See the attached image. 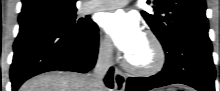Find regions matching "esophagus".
Masks as SVG:
<instances>
[{
    "instance_id": "esophagus-1",
    "label": "esophagus",
    "mask_w": 220,
    "mask_h": 91,
    "mask_svg": "<svg viewBox=\"0 0 220 91\" xmlns=\"http://www.w3.org/2000/svg\"><path fill=\"white\" fill-rule=\"evenodd\" d=\"M114 87L116 91H124L126 87V75L118 68L114 73Z\"/></svg>"
}]
</instances>
